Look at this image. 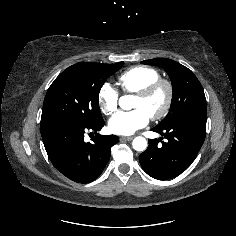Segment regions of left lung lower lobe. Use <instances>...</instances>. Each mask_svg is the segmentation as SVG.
I'll use <instances>...</instances> for the list:
<instances>
[{
  "label": "left lung lower lobe",
  "mask_w": 236,
  "mask_h": 236,
  "mask_svg": "<svg viewBox=\"0 0 236 236\" xmlns=\"http://www.w3.org/2000/svg\"><path fill=\"white\" fill-rule=\"evenodd\" d=\"M206 112L188 114L164 127H154L163 139H149L146 151L140 154L143 170L156 179H172L185 171L197 156L205 139Z\"/></svg>",
  "instance_id": "obj_1"
}]
</instances>
